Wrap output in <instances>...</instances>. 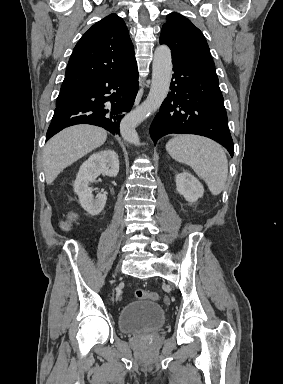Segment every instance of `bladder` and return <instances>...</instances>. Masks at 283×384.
<instances>
[{"label": "bladder", "instance_id": "obj_1", "mask_svg": "<svg viewBox=\"0 0 283 384\" xmlns=\"http://www.w3.org/2000/svg\"><path fill=\"white\" fill-rule=\"evenodd\" d=\"M165 320L160 303L149 300L126 303L118 312V328L124 333L155 331L163 327Z\"/></svg>", "mask_w": 283, "mask_h": 384}]
</instances>
